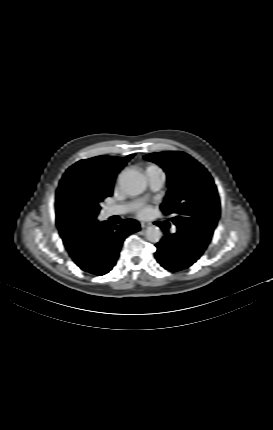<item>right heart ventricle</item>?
<instances>
[{
  "label": "right heart ventricle",
  "mask_w": 273,
  "mask_h": 430,
  "mask_svg": "<svg viewBox=\"0 0 273 430\" xmlns=\"http://www.w3.org/2000/svg\"><path fill=\"white\" fill-rule=\"evenodd\" d=\"M152 168H157L156 166H154V165H151V166H149L148 168H147V170H149V169H152ZM146 170V171H147Z\"/></svg>",
  "instance_id": "1"
}]
</instances>
